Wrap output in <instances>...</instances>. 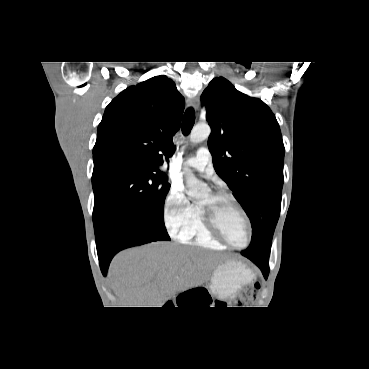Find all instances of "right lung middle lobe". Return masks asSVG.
<instances>
[{"mask_svg": "<svg viewBox=\"0 0 369 369\" xmlns=\"http://www.w3.org/2000/svg\"><path fill=\"white\" fill-rule=\"evenodd\" d=\"M93 224L95 232L118 214L138 218L159 240H170L164 225L167 176L151 169L120 165L94 166Z\"/></svg>", "mask_w": 369, "mask_h": 369, "instance_id": "obj_1", "label": "right lung middle lobe"}]
</instances>
